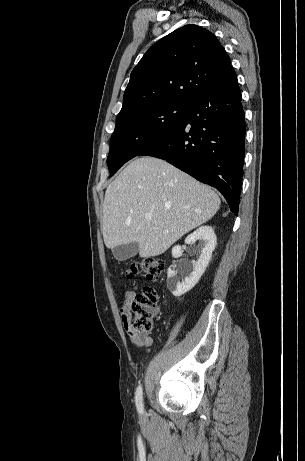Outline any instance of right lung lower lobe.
Here are the masks:
<instances>
[{
	"label": "right lung lower lobe",
	"instance_id": "obj_1",
	"mask_svg": "<svg viewBox=\"0 0 305 461\" xmlns=\"http://www.w3.org/2000/svg\"><path fill=\"white\" fill-rule=\"evenodd\" d=\"M236 74L189 103L181 124L139 156L157 157L219 190L237 216L246 123Z\"/></svg>",
	"mask_w": 305,
	"mask_h": 461
}]
</instances>
